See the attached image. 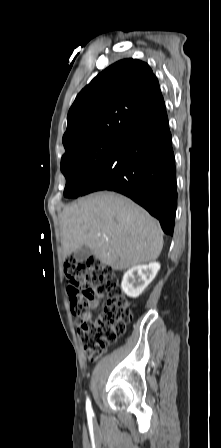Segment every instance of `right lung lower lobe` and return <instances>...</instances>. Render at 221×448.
Returning a JSON list of instances; mask_svg holds the SVG:
<instances>
[{
  "instance_id": "obj_1",
  "label": "right lung lower lobe",
  "mask_w": 221,
  "mask_h": 448,
  "mask_svg": "<svg viewBox=\"0 0 221 448\" xmlns=\"http://www.w3.org/2000/svg\"><path fill=\"white\" fill-rule=\"evenodd\" d=\"M100 190L128 196L156 217L166 234L173 235L176 169L165 104L118 137L82 195Z\"/></svg>"
}]
</instances>
